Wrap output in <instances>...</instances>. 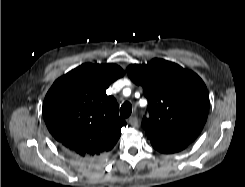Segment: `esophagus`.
<instances>
[{
    "mask_svg": "<svg viewBox=\"0 0 245 187\" xmlns=\"http://www.w3.org/2000/svg\"><path fill=\"white\" fill-rule=\"evenodd\" d=\"M128 123L132 126V127H137L138 126V118L136 116H131L128 119Z\"/></svg>",
    "mask_w": 245,
    "mask_h": 187,
    "instance_id": "1",
    "label": "esophagus"
}]
</instances>
